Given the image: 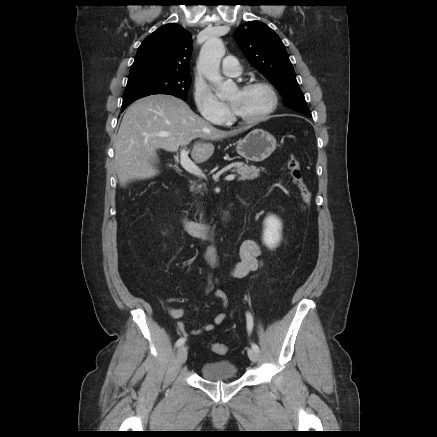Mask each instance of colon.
Here are the masks:
<instances>
[{"label":"colon","instance_id":"5ec220e1","mask_svg":"<svg viewBox=\"0 0 437 437\" xmlns=\"http://www.w3.org/2000/svg\"><path fill=\"white\" fill-rule=\"evenodd\" d=\"M287 168L289 170L294 185L298 189L302 206L304 208H307L310 205L312 194L306 183L304 182L300 161L296 155H290L287 161ZM211 349L214 353L219 355H224L228 351V347L223 343H214L212 344Z\"/></svg>","mask_w":437,"mask_h":437}]
</instances>
